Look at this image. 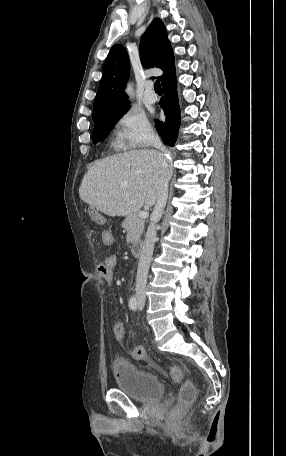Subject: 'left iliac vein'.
<instances>
[{"label":"left iliac vein","instance_id":"1","mask_svg":"<svg viewBox=\"0 0 286 456\" xmlns=\"http://www.w3.org/2000/svg\"><path fill=\"white\" fill-rule=\"evenodd\" d=\"M143 307H144V300L143 301H139V304H138L139 310H141Z\"/></svg>","mask_w":286,"mask_h":456}]
</instances>
